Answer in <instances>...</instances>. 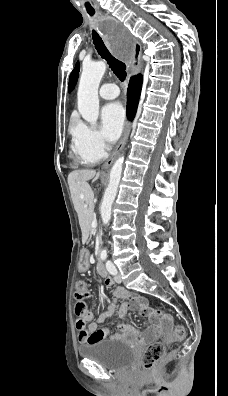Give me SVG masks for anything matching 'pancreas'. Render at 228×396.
<instances>
[{
  "instance_id": "1",
  "label": "pancreas",
  "mask_w": 228,
  "mask_h": 396,
  "mask_svg": "<svg viewBox=\"0 0 228 396\" xmlns=\"http://www.w3.org/2000/svg\"><path fill=\"white\" fill-rule=\"evenodd\" d=\"M93 219H94V216L91 218V221H93ZM91 221H90V222H91ZM89 234H90L89 236L91 237V236H92V235H91L92 233L90 232ZM88 240L90 241L91 239L89 238ZM89 241H88V242H89Z\"/></svg>"
}]
</instances>
